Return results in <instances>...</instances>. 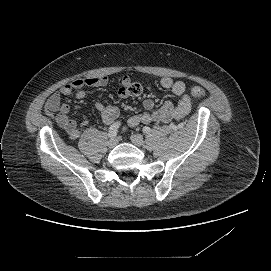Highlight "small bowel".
<instances>
[{"label": "small bowel", "instance_id": "1", "mask_svg": "<svg viewBox=\"0 0 271 271\" xmlns=\"http://www.w3.org/2000/svg\"><path fill=\"white\" fill-rule=\"evenodd\" d=\"M108 83L107 77H91L86 79H75L64 84L60 89L54 92L46 101L45 112L51 116L56 123L66 131L70 140H76L83 128L88 124L86 119L77 122L70 118V107L62 103V96L74 95L77 99L86 97V87H104ZM121 86L118 93L121 97H128L127 88L131 84L128 77L120 80ZM162 88L170 90L173 94L180 97L177 104L170 101L164 102L160 107L155 108L153 100L147 98L143 101L144 112L131 116L128 119V126L136 127L140 124H149L152 122L167 123L170 121H179L187 116L192 108L191 95L186 92V86L182 81H175L169 77L160 80ZM96 109L106 124H112L119 116V109L111 104L98 102ZM54 113L56 115L54 116Z\"/></svg>", "mask_w": 271, "mask_h": 271}]
</instances>
